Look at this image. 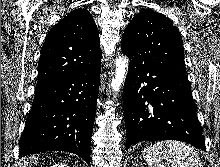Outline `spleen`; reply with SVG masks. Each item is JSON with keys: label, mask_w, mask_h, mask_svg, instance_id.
Here are the masks:
<instances>
[{"label": "spleen", "mask_w": 220, "mask_h": 167, "mask_svg": "<svg viewBox=\"0 0 220 167\" xmlns=\"http://www.w3.org/2000/svg\"><path fill=\"white\" fill-rule=\"evenodd\" d=\"M143 157L149 167H202L194 148L180 141L151 144L144 150Z\"/></svg>", "instance_id": "spleen-1"}]
</instances>
